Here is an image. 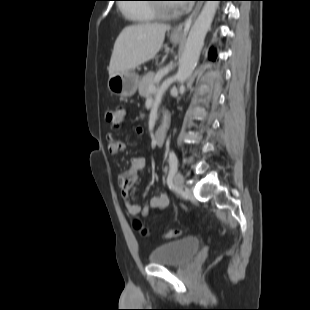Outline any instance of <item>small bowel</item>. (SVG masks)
Masks as SVG:
<instances>
[{
	"label": "small bowel",
	"mask_w": 310,
	"mask_h": 310,
	"mask_svg": "<svg viewBox=\"0 0 310 310\" xmlns=\"http://www.w3.org/2000/svg\"><path fill=\"white\" fill-rule=\"evenodd\" d=\"M135 134H142L143 130L139 126L133 127ZM107 152L112 155H118L124 150V144L115 140L112 136H108ZM145 159L143 157H133L130 160L129 168L124 171L118 178V187L121 191V197L124 201L126 211L131 215L147 216L152 209L163 210L169 204V197L166 194L155 195L149 201L140 207L133 203L130 199V189L137 183L139 174L145 168Z\"/></svg>",
	"instance_id": "small-bowel-1"
}]
</instances>
